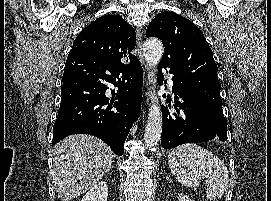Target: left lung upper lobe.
Returning <instances> with one entry per match:
<instances>
[{
  "label": "left lung upper lobe",
  "mask_w": 271,
  "mask_h": 201,
  "mask_svg": "<svg viewBox=\"0 0 271 201\" xmlns=\"http://www.w3.org/2000/svg\"><path fill=\"white\" fill-rule=\"evenodd\" d=\"M146 36L162 40L165 53L159 64L170 68L182 90L204 107L212 126L227 138L217 65L202 31L181 15L163 12L149 23Z\"/></svg>",
  "instance_id": "5c2ea615"
}]
</instances>
